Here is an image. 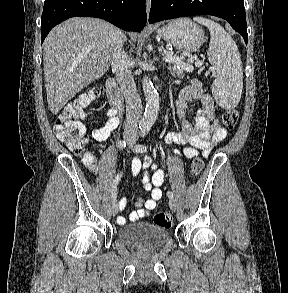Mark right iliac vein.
I'll return each mask as SVG.
<instances>
[{"label": "right iliac vein", "instance_id": "obj_1", "mask_svg": "<svg viewBox=\"0 0 288 293\" xmlns=\"http://www.w3.org/2000/svg\"><path fill=\"white\" fill-rule=\"evenodd\" d=\"M127 143L129 146H131L132 142L130 139L127 138ZM111 212L113 214V216L117 215L119 212V206L117 201L112 202V206H111Z\"/></svg>", "mask_w": 288, "mask_h": 293}]
</instances>
